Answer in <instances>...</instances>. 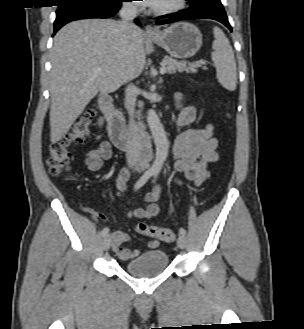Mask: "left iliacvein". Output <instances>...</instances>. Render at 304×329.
Returning a JSON list of instances; mask_svg holds the SVG:
<instances>
[{"mask_svg": "<svg viewBox=\"0 0 304 329\" xmlns=\"http://www.w3.org/2000/svg\"><path fill=\"white\" fill-rule=\"evenodd\" d=\"M177 244L180 249H184L186 247V237L180 234L177 240Z\"/></svg>", "mask_w": 304, "mask_h": 329, "instance_id": "obj_1", "label": "left iliac vein"}]
</instances>
